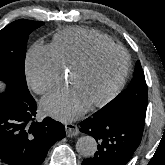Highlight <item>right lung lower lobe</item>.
<instances>
[{"label":"right lung lower lobe","mask_w":165,"mask_h":165,"mask_svg":"<svg viewBox=\"0 0 165 165\" xmlns=\"http://www.w3.org/2000/svg\"><path fill=\"white\" fill-rule=\"evenodd\" d=\"M36 103L29 92L7 85L0 94V159L9 165H41L49 148L65 137V127L46 117L35 120Z\"/></svg>","instance_id":"98d812e1"}]
</instances>
